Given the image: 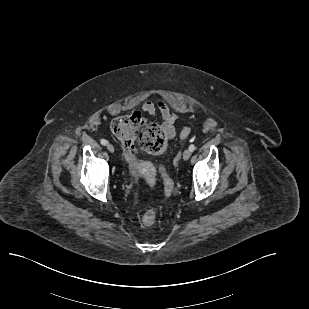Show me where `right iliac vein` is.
<instances>
[{"label":"right iliac vein","instance_id":"right-iliac-vein-1","mask_svg":"<svg viewBox=\"0 0 309 309\" xmlns=\"http://www.w3.org/2000/svg\"><path fill=\"white\" fill-rule=\"evenodd\" d=\"M107 149L109 152L113 153L114 152V146L112 144H107Z\"/></svg>","mask_w":309,"mask_h":309}]
</instances>
